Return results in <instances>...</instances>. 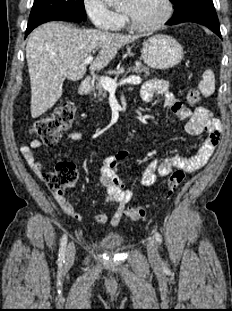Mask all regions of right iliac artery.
<instances>
[{
	"mask_svg": "<svg viewBox=\"0 0 232 311\" xmlns=\"http://www.w3.org/2000/svg\"><path fill=\"white\" fill-rule=\"evenodd\" d=\"M66 246H67V236L64 235L61 239V245L59 249V263L60 264H63L65 262Z\"/></svg>",
	"mask_w": 232,
	"mask_h": 311,
	"instance_id": "obj_1",
	"label": "right iliac artery"
}]
</instances>
